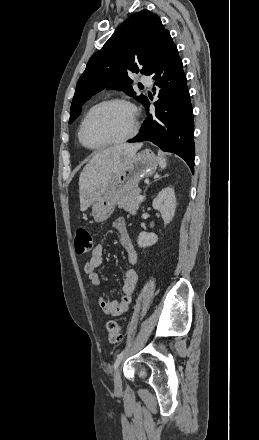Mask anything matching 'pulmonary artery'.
<instances>
[{
    "label": "pulmonary artery",
    "instance_id": "obj_1",
    "mask_svg": "<svg viewBox=\"0 0 259 440\" xmlns=\"http://www.w3.org/2000/svg\"><path fill=\"white\" fill-rule=\"evenodd\" d=\"M141 82H142L143 84L147 85V86H151V85H152V80H151V78L148 77V76H143V77L141 78Z\"/></svg>",
    "mask_w": 259,
    "mask_h": 440
}]
</instances>
